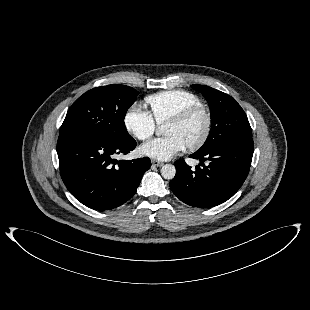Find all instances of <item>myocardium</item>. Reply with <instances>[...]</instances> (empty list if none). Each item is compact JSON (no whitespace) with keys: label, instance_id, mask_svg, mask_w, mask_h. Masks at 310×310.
<instances>
[{"label":"myocardium","instance_id":"myocardium-1","mask_svg":"<svg viewBox=\"0 0 310 310\" xmlns=\"http://www.w3.org/2000/svg\"><path fill=\"white\" fill-rule=\"evenodd\" d=\"M198 114H202L205 117V128L201 137L197 141L185 146L190 151L200 149L210 137L213 127V117L209 108L202 104L194 105L182 110L166 121V124H182Z\"/></svg>","mask_w":310,"mask_h":310}]
</instances>
